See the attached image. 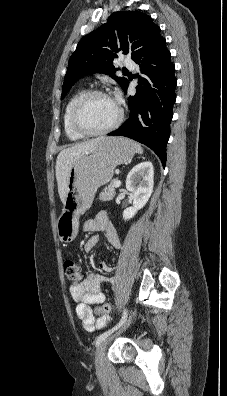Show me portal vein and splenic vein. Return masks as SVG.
I'll list each match as a JSON object with an SVG mask.
<instances>
[{
  "label": "portal vein and splenic vein",
  "mask_w": 227,
  "mask_h": 396,
  "mask_svg": "<svg viewBox=\"0 0 227 396\" xmlns=\"http://www.w3.org/2000/svg\"><path fill=\"white\" fill-rule=\"evenodd\" d=\"M121 185V181L120 180H117L116 182H115V184H114V186L117 188V187H119Z\"/></svg>",
  "instance_id": "18ae733b"
}]
</instances>
